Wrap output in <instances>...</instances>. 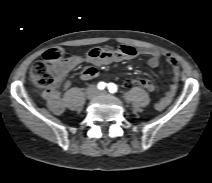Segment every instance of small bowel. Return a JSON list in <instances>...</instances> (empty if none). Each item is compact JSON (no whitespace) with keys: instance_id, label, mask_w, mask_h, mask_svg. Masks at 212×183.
Masks as SVG:
<instances>
[{"instance_id":"1","label":"small bowel","mask_w":212,"mask_h":183,"mask_svg":"<svg viewBox=\"0 0 212 183\" xmlns=\"http://www.w3.org/2000/svg\"><path fill=\"white\" fill-rule=\"evenodd\" d=\"M139 55L149 56L148 65L152 68L159 66L160 59L164 55L167 62L172 67L174 82L166 91L165 95L155 104V109L162 111L171 103L176 94L177 82L179 80V67L177 60L173 55L154 47L136 48L130 45H121L119 47H95L87 53L85 58L79 55L70 56L61 60L55 66L54 74L56 86L61 89L69 88L70 82L65 79V76L84 60L88 61L94 66H100L113 62L133 59ZM94 66H89L82 70L80 75L82 80H91L97 77L98 71ZM148 80L151 82V86L148 91H153L155 89V84L151 79ZM42 97L46 101L48 108L53 113L60 114L64 111L65 104L61 93L56 87H50L44 90Z\"/></svg>"}]
</instances>
